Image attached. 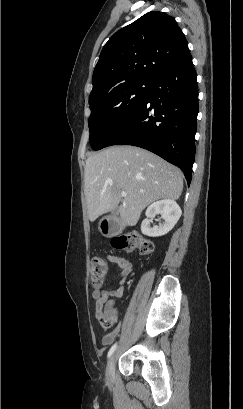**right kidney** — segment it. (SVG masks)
<instances>
[{
  "label": "right kidney",
  "mask_w": 243,
  "mask_h": 409,
  "mask_svg": "<svg viewBox=\"0 0 243 409\" xmlns=\"http://www.w3.org/2000/svg\"><path fill=\"white\" fill-rule=\"evenodd\" d=\"M157 214H161L164 222L150 228V220ZM181 214V208L174 200L165 199L154 202L146 210V219L142 221L141 232L150 237L163 236L173 229Z\"/></svg>",
  "instance_id": "right-kidney-1"
}]
</instances>
